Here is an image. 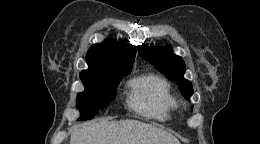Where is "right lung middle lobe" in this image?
Wrapping results in <instances>:
<instances>
[{
  "instance_id": "dd1d6c3e",
  "label": "right lung middle lobe",
  "mask_w": 260,
  "mask_h": 144,
  "mask_svg": "<svg viewBox=\"0 0 260 144\" xmlns=\"http://www.w3.org/2000/svg\"><path fill=\"white\" fill-rule=\"evenodd\" d=\"M130 71L80 76L85 90L77 95L76 107L81 112L79 120L94 117L106 107L115 95L120 80Z\"/></svg>"
}]
</instances>
